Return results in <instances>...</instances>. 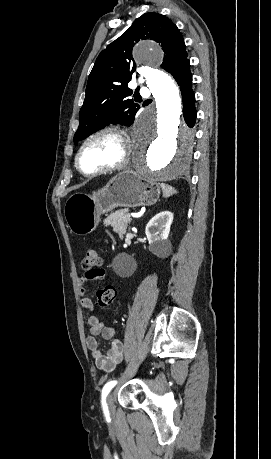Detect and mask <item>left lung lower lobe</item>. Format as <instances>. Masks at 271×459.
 <instances>
[{"instance_id":"left-lung-lower-lobe-1","label":"left lung lower lobe","mask_w":271,"mask_h":459,"mask_svg":"<svg viewBox=\"0 0 271 459\" xmlns=\"http://www.w3.org/2000/svg\"><path fill=\"white\" fill-rule=\"evenodd\" d=\"M180 86L183 101V116L189 127L195 125L197 111L195 109V94L192 90V74L190 60H183L171 73Z\"/></svg>"}]
</instances>
